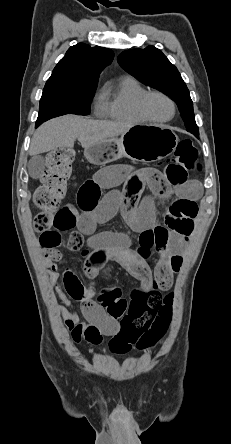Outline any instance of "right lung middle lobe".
<instances>
[{
	"mask_svg": "<svg viewBox=\"0 0 231 444\" xmlns=\"http://www.w3.org/2000/svg\"><path fill=\"white\" fill-rule=\"evenodd\" d=\"M95 89H44L36 127L46 120L68 113L87 115Z\"/></svg>",
	"mask_w": 231,
	"mask_h": 444,
	"instance_id": "dd1d6c3e",
	"label": "right lung middle lobe"
}]
</instances>
